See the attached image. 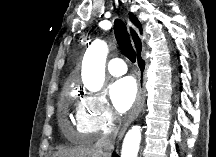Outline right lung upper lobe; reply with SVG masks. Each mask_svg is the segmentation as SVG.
<instances>
[{
  "instance_id": "obj_1",
  "label": "right lung upper lobe",
  "mask_w": 216,
  "mask_h": 157,
  "mask_svg": "<svg viewBox=\"0 0 216 157\" xmlns=\"http://www.w3.org/2000/svg\"><path fill=\"white\" fill-rule=\"evenodd\" d=\"M130 19L132 21L133 24H135V26L138 27V29L140 30V33H142V27L140 22L138 21V19L136 18V16L133 13H129Z\"/></svg>"
}]
</instances>
